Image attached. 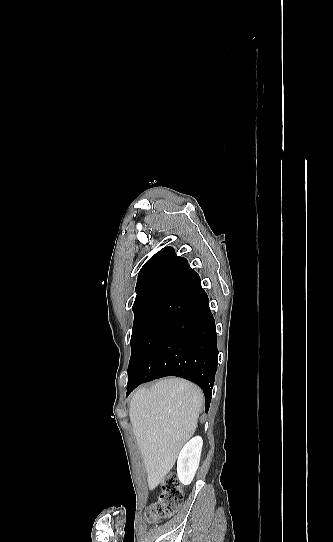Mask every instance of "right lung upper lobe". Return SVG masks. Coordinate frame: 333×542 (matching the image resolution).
<instances>
[{"instance_id":"obj_1","label":"right lung upper lobe","mask_w":333,"mask_h":542,"mask_svg":"<svg viewBox=\"0 0 333 542\" xmlns=\"http://www.w3.org/2000/svg\"><path fill=\"white\" fill-rule=\"evenodd\" d=\"M174 251L166 247L153 255L141 268L138 276L134 306L163 299L171 290L188 277L193 270H182L173 266L169 254Z\"/></svg>"}]
</instances>
